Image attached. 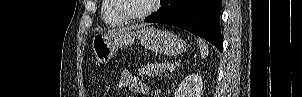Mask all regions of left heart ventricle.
<instances>
[{
  "label": "left heart ventricle",
  "instance_id": "obj_1",
  "mask_svg": "<svg viewBox=\"0 0 302 97\" xmlns=\"http://www.w3.org/2000/svg\"><path fill=\"white\" fill-rule=\"evenodd\" d=\"M120 7L129 14H138L145 11L151 0H119Z\"/></svg>",
  "mask_w": 302,
  "mask_h": 97
}]
</instances>
